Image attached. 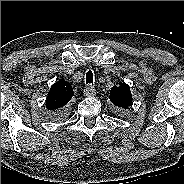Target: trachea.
Segmentation results:
<instances>
[{
  "label": "trachea",
  "mask_w": 184,
  "mask_h": 184,
  "mask_svg": "<svg viewBox=\"0 0 184 184\" xmlns=\"http://www.w3.org/2000/svg\"><path fill=\"white\" fill-rule=\"evenodd\" d=\"M86 84H93V72L91 70L86 73Z\"/></svg>",
  "instance_id": "obj_1"
}]
</instances>
